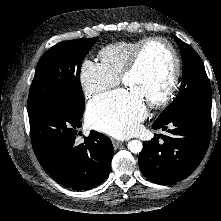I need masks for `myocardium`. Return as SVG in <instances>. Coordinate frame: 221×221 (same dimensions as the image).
Here are the masks:
<instances>
[{
  "instance_id": "obj_1",
  "label": "myocardium",
  "mask_w": 221,
  "mask_h": 221,
  "mask_svg": "<svg viewBox=\"0 0 221 221\" xmlns=\"http://www.w3.org/2000/svg\"><path fill=\"white\" fill-rule=\"evenodd\" d=\"M154 43H159V44L164 45L167 48L170 54V58L172 60V69H171L170 79H169V83L165 91L157 99L147 103V105L150 108H160V107L165 106L172 99L176 91L178 79L180 75V66H181L180 59H179L176 49L174 48V46L172 45L170 41H168L166 38H163V37H149V38L143 39L134 49L129 62L124 68L120 77H121L122 84H124L127 77L130 76L137 69L143 51L148 46Z\"/></svg>"
}]
</instances>
